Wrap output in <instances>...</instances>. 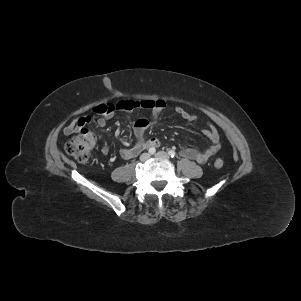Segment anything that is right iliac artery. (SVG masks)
<instances>
[{
	"label": "right iliac artery",
	"mask_w": 301,
	"mask_h": 301,
	"mask_svg": "<svg viewBox=\"0 0 301 301\" xmlns=\"http://www.w3.org/2000/svg\"><path fill=\"white\" fill-rule=\"evenodd\" d=\"M155 148H149V150H148V152L150 153V154H154L155 153Z\"/></svg>",
	"instance_id": "82829eb1"
}]
</instances>
